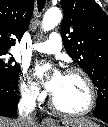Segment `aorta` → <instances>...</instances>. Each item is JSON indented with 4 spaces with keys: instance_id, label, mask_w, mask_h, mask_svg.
Here are the masks:
<instances>
[{
    "instance_id": "aorta-1",
    "label": "aorta",
    "mask_w": 108,
    "mask_h": 127,
    "mask_svg": "<svg viewBox=\"0 0 108 127\" xmlns=\"http://www.w3.org/2000/svg\"><path fill=\"white\" fill-rule=\"evenodd\" d=\"M62 19V13L59 8H50L44 14L42 20V29L44 31H49L55 28Z\"/></svg>"
}]
</instances>
